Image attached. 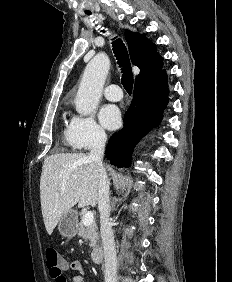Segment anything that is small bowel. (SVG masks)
<instances>
[{
	"label": "small bowel",
	"instance_id": "1",
	"mask_svg": "<svg viewBox=\"0 0 232 282\" xmlns=\"http://www.w3.org/2000/svg\"><path fill=\"white\" fill-rule=\"evenodd\" d=\"M64 270L72 269L78 271L79 274L73 275L71 278L72 282H86V269L80 261L67 262L64 261ZM55 282H67L65 276L52 277Z\"/></svg>",
	"mask_w": 232,
	"mask_h": 282
}]
</instances>
